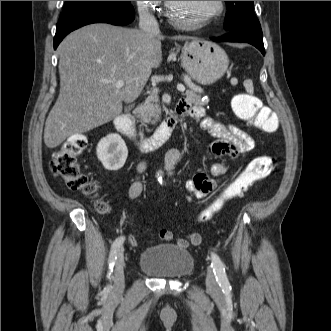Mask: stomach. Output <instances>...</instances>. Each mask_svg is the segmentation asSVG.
Masks as SVG:
<instances>
[{"label":"stomach","instance_id":"0dacf381","mask_svg":"<svg viewBox=\"0 0 331 331\" xmlns=\"http://www.w3.org/2000/svg\"><path fill=\"white\" fill-rule=\"evenodd\" d=\"M181 64L198 83L209 85L227 71L229 59L216 43L204 39L186 42L181 50Z\"/></svg>","mask_w":331,"mask_h":331}]
</instances>
